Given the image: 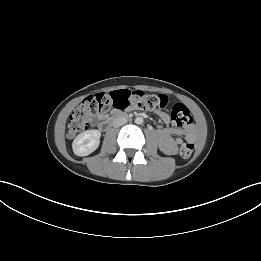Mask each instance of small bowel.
Returning <instances> with one entry per match:
<instances>
[{
  "instance_id": "small-bowel-1",
  "label": "small bowel",
  "mask_w": 261,
  "mask_h": 261,
  "mask_svg": "<svg viewBox=\"0 0 261 261\" xmlns=\"http://www.w3.org/2000/svg\"><path fill=\"white\" fill-rule=\"evenodd\" d=\"M157 115L164 123L169 124L171 122V118L167 113L157 111ZM105 117L106 116L103 113L97 115L98 120H103ZM180 134L184 135L188 141H193L195 139V130L193 127H166L158 129L156 131V137L159 148L166 154H176L178 146L182 143V139L177 136Z\"/></svg>"
}]
</instances>
